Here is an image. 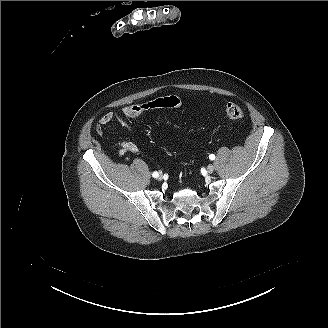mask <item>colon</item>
<instances>
[{
	"label": "colon",
	"instance_id": "1",
	"mask_svg": "<svg viewBox=\"0 0 328 328\" xmlns=\"http://www.w3.org/2000/svg\"><path fill=\"white\" fill-rule=\"evenodd\" d=\"M180 100L177 96L169 95L165 97L156 98L144 103L133 104L126 107L123 111V115L127 119H133L141 115L142 113L159 108H173L177 107ZM226 115L232 120H239L243 118L244 112L236 104L230 103L225 108Z\"/></svg>",
	"mask_w": 328,
	"mask_h": 328
}]
</instances>
